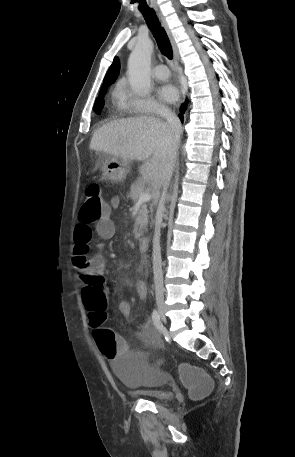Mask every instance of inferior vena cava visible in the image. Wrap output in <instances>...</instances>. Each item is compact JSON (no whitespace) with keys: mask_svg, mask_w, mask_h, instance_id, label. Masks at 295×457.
Instances as JSON below:
<instances>
[{"mask_svg":"<svg viewBox=\"0 0 295 457\" xmlns=\"http://www.w3.org/2000/svg\"><path fill=\"white\" fill-rule=\"evenodd\" d=\"M161 116L166 120V123L173 134L174 140L178 141L181 132V123L178 117L172 113L170 110L165 109L161 111ZM173 166L174 164L170 165L167 168L164 181L162 184L163 191L161 195V199L159 201V205L156 211V222H155V232L153 238V272H154V284H155V293L156 298H163L164 296V286H163V273H162V258H161V247H160V236H161V222L163 219V214L165 210V199L167 194V189L169 187L172 174H173Z\"/></svg>","mask_w":295,"mask_h":457,"instance_id":"obj_1","label":"inferior vena cava"}]
</instances>
